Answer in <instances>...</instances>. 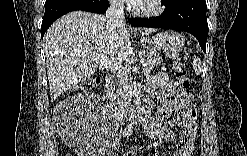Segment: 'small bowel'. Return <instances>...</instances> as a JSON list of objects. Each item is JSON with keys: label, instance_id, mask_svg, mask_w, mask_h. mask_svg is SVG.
Listing matches in <instances>:
<instances>
[{"label": "small bowel", "instance_id": "c3829d8e", "mask_svg": "<svg viewBox=\"0 0 247 156\" xmlns=\"http://www.w3.org/2000/svg\"><path fill=\"white\" fill-rule=\"evenodd\" d=\"M146 93L149 103L156 98H161L163 101L157 117L151 118L147 124L146 129L150 139L154 143H172L174 135L169 128V124H172L183 131V136L177 144L178 155H191L196 137L197 109L195 105L190 104L187 93L164 73H159L151 79ZM172 108L175 110L174 114ZM150 155H157V151L152 150Z\"/></svg>", "mask_w": 247, "mask_h": 156}]
</instances>
